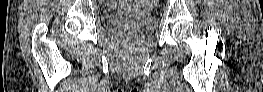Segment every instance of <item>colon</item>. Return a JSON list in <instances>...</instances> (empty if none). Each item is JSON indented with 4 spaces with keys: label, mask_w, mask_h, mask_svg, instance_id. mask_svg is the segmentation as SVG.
Here are the masks:
<instances>
[{
    "label": "colon",
    "mask_w": 263,
    "mask_h": 92,
    "mask_svg": "<svg viewBox=\"0 0 263 92\" xmlns=\"http://www.w3.org/2000/svg\"><path fill=\"white\" fill-rule=\"evenodd\" d=\"M118 2H119V1H113V2H111V4L115 5L114 7H118V6H117V5H118Z\"/></svg>",
    "instance_id": "colon-1"
}]
</instances>
